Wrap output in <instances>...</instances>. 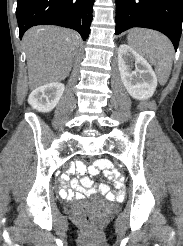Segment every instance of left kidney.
I'll list each match as a JSON object with an SVG mask.
<instances>
[{
  "label": "left kidney",
  "instance_id": "obj_1",
  "mask_svg": "<svg viewBox=\"0 0 183 246\" xmlns=\"http://www.w3.org/2000/svg\"><path fill=\"white\" fill-rule=\"evenodd\" d=\"M118 66L123 85L133 98L146 100L153 96L157 77L144 57L129 45L122 44L118 48Z\"/></svg>",
  "mask_w": 183,
  "mask_h": 246
}]
</instances>
